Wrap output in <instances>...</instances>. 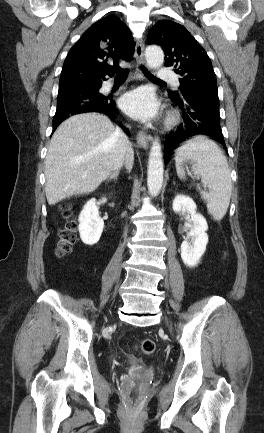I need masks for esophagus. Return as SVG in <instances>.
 <instances>
[{"instance_id":"esophagus-1","label":"esophagus","mask_w":264,"mask_h":433,"mask_svg":"<svg viewBox=\"0 0 264 433\" xmlns=\"http://www.w3.org/2000/svg\"><path fill=\"white\" fill-rule=\"evenodd\" d=\"M135 58L137 60V69L136 74L137 77L141 76L140 66L145 65V58H144V43L142 40L137 41L135 46ZM151 136L146 134L143 131H138L136 135L137 144L142 148H148L149 142L151 141Z\"/></svg>"}]
</instances>
